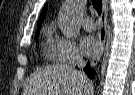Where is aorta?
Here are the masks:
<instances>
[{"label": "aorta", "mask_w": 135, "mask_h": 95, "mask_svg": "<svg viewBox=\"0 0 135 95\" xmlns=\"http://www.w3.org/2000/svg\"><path fill=\"white\" fill-rule=\"evenodd\" d=\"M84 8V0H66L59 13L58 25L67 38L79 35V17Z\"/></svg>", "instance_id": "762f6f07"}]
</instances>
